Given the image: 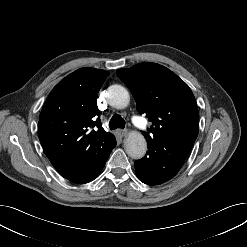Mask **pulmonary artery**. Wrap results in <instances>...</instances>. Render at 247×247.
I'll return each mask as SVG.
<instances>
[{"label":"pulmonary artery","instance_id":"pulmonary-artery-1","mask_svg":"<svg viewBox=\"0 0 247 247\" xmlns=\"http://www.w3.org/2000/svg\"><path fill=\"white\" fill-rule=\"evenodd\" d=\"M132 120L141 129H144V130L147 129V125H146L145 121L141 117L135 116V117H133Z\"/></svg>","mask_w":247,"mask_h":247}]
</instances>
